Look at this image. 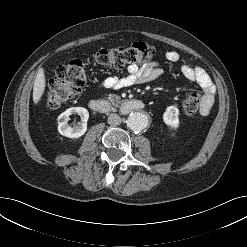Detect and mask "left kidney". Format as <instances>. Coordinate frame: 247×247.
<instances>
[{"label": "left kidney", "mask_w": 247, "mask_h": 247, "mask_svg": "<svg viewBox=\"0 0 247 247\" xmlns=\"http://www.w3.org/2000/svg\"><path fill=\"white\" fill-rule=\"evenodd\" d=\"M163 121L166 125L172 128H177L179 126V109L176 106L167 107L163 114Z\"/></svg>", "instance_id": "left-kidney-1"}]
</instances>
